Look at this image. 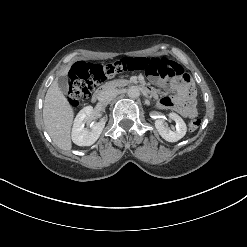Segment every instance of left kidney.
<instances>
[{
    "label": "left kidney",
    "instance_id": "obj_1",
    "mask_svg": "<svg viewBox=\"0 0 247 247\" xmlns=\"http://www.w3.org/2000/svg\"><path fill=\"white\" fill-rule=\"evenodd\" d=\"M168 116L176 122L174 130L168 128L162 119L155 121V127L163 139L168 142H176L185 136L187 127L184 120L178 114L171 112Z\"/></svg>",
    "mask_w": 247,
    "mask_h": 247
}]
</instances>
